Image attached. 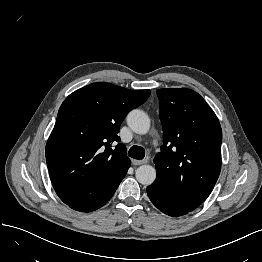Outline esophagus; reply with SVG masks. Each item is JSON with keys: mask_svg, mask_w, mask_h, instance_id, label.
I'll return each instance as SVG.
<instances>
[{"mask_svg": "<svg viewBox=\"0 0 262 262\" xmlns=\"http://www.w3.org/2000/svg\"><path fill=\"white\" fill-rule=\"evenodd\" d=\"M147 161L146 160H132L133 165H142L145 164Z\"/></svg>", "mask_w": 262, "mask_h": 262, "instance_id": "34e87169", "label": "esophagus"}]
</instances>
